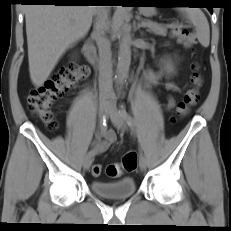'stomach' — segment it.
Instances as JSON below:
<instances>
[{
  "label": "stomach",
  "mask_w": 231,
  "mask_h": 231,
  "mask_svg": "<svg viewBox=\"0 0 231 231\" xmlns=\"http://www.w3.org/2000/svg\"><path fill=\"white\" fill-rule=\"evenodd\" d=\"M140 11H141V13H143L145 15H150L151 14V12L145 7H141Z\"/></svg>",
  "instance_id": "obj_1"
}]
</instances>
